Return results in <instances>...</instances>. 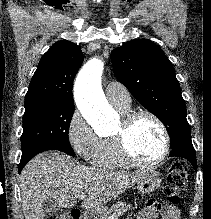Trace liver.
Masks as SVG:
<instances>
[{"label": "liver", "mask_w": 211, "mask_h": 219, "mask_svg": "<svg viewBox=\"0 0 211 219\" xmlns=\"http://www.w3.org/2000/svg\"><path fill=\"white\" fill-rule=\"evenodd\" d=\"M148 170L114 171L76 165L61 152L34 157L20 175V193L25 219H44L43 202L54 199L61 208H72L77 196L87 193L83 209H100L138 183Z\"/></svg>", "instance_id": "obj_1"}]
</instances>
